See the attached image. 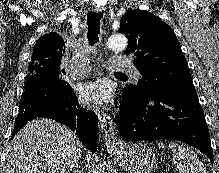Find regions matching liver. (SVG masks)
<instances>
[{
  "instance_id": "1",
  "label": "liver",
  "mask_w": 219,
  "mask_h": 173,
  "mask_svg": "<svg viewBox=\"0 0 219 173\" xmlns=\"http://www.w3.org/2000/svg\"><path fill=\"white\" fill-rule=\"evenodd\" d=\"M82 150L75 132L51 119L36 118L9 143L3 173H69ZM86 159H92L90 152Z\"/></svg>"
}]
</instances>
